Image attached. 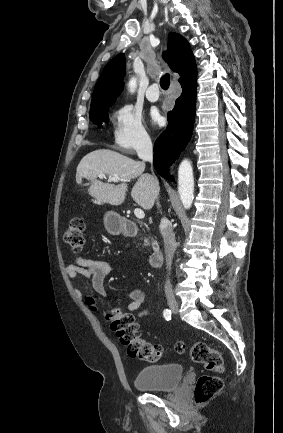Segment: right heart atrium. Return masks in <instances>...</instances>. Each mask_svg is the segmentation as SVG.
<instances>
[{
  "label": "right heart atrium",
  "instance_id": "right-heart-atrium-1",
  "mask_svg": "<svg viewBox=\"0 0 283 433\" xmlns=\"http://www.w3.org/2000/svg\"><path fill=\"white\" fill-rule=\"evenodd\" d=\"M152 146L144 116L130 104L120 105L112 117V148L125 155H134Z\"/></svg>",
  "mask_w": 283,
  "mask_h": 433
}]
</instances>
